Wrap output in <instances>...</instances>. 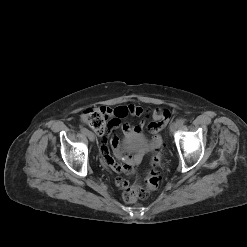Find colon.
Returning a JSON list of instances; mask_svg holds the SVG:
<instances>
[{
  "mask_svg": "<svg viewBox=\"0 0 247 247\" xmlns=\"http://www.w3.org/2000/svg\"><path fill=\"white\" fill-rule=\"evenodd\" d=\"M82 120L99 134H103L108 126V119L102 108L86 110L82 115ZM159 166H161V156L157 152L152 158L151 169L145 179L146 187L134 185L126 188L123 192V199L126 202L132 203L138 199L146 198L151 191L157 189L161 181L156 170Z\"/></svg>",
  "mask_w": 247,
  "mask_h": 247,
  "instance_id": "5ec220e1",
  "label": "colon"
}]
</instances>
